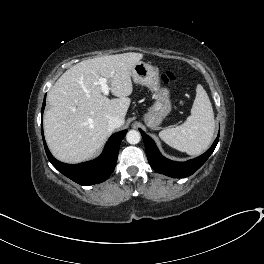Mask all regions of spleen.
I'll return each instance as SVG.
<instances>
[{
	"mask_svg": "<svg viewBox=\"0 0 264 264\" xmlns=\"http://www.w3.org/2000/svg\"><path fill=\"white\" fill-rule=\"evenodd\" d=\"M214 130L212 104L203 86L198 84L191 115L186 122L181 126L162 130L159 137L166 144L181 152L199 155L210 145Z\"/></svg>",
	"mask_w": 264,
	"mask_h": 264,
	"instance_id": "spleen-1",
	"label": "spleen"
}]
</instances>
